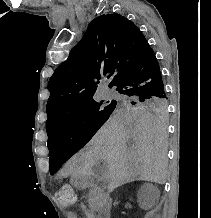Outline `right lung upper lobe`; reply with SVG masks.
Returning <instances> with one entry per match:
<instances>
[{"label":"right lung upper lobe","instance_id":"obj_1","mask_svg":"<svg viewBox=\"0 0 211 218\" xmlns=\"http://www.w3.org/2000/svg\"><path fill=\"white\" fill-rule=\"evenodd\" d=\"M152 50L133 22L117 13L101 15L49 80L46 129L63 115L94 99L106 74L111 87L139 58Z\"/></svg>","mask_w":211,"mask_h":218}]
</instances>
